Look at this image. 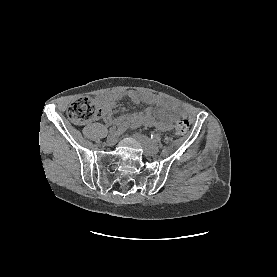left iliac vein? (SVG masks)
I'll use <instances>...</instances> for the list:
<instances>
[{
	"label": "left iliac vein",
	"mask_w": 277,
	"mask_h": 277,
	"mask_svg": "<svg viewBox=\"0 0 277 277\" xmlns=\"http://www.w3.org/2000/svg\"><path fill=\"white\" fill-rule=\"evenodd\" d=\"M134 136L141 143L144 153L147 156H154L159 152L158 145L155 142H153L150 138H148L147 136L140 134V133H135Z\"/></svg>",
	"instance_id": "left-iliac-vein-1"
}]
</instances>
